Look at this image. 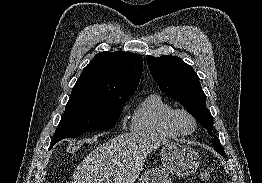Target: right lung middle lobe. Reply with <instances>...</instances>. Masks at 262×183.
<instances>
[{"label":"right lung middle lobe","instance_id":"right-lung-middle-lobe-1","mask_svg":"<svg viewBox=\"0 0 262 183\" xmlns=\"http://www.w3.org/2000/svg\"><path fill=\"white\" fill-rule=\"evenodd\" d=\"M129 98L71 95L56 128L51 146L64 138H76L92 131L111 129Z\"/></svg>","mask_w":262,"mask_h":183}]
</instances>
